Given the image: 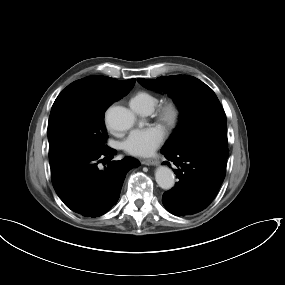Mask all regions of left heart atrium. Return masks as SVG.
I'll list each match as a JSON object with an SVG mask.
<instances>
[{"label": "left heart atrium", "mask_w": 285, "mask_h": 285, "mask_svg": "<svg viewBox=\"0 0 285 285\" xmlns=\"http://www.w3.org/2000/svg\"><path fill=\"white\" fill-rule=\"evenodd\" d=\"M164 138V129L159 125L136 128L123 141V149L132 156L147 157L154 153Z\"/></svg>", "instance_id": "obj_1"}]
</instances>
